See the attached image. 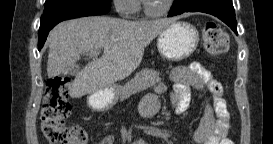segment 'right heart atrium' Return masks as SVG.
Instances as JSON below:
<instances>
[{
  "label": "right heart atrium",
  "mask_w": 273,
  "mask_h": 144,
  "mask_svg": "<svg viewBox=\"0 0 273 144\" xmlns=\"http://www.w3.org/2000/svg\"><path fill=\"white\" fill-rule=\"evenodd\" d=\"M116 11L123 16H130L138 10L136 0H113Z\"/></svg>",
  "instance_id": "d8ad5b80"
}]
</instances>
